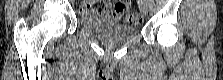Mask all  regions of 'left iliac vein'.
Here are the masks:
<instances>
[{
	"label": "left iliac vein",
	"mask_w": 223,
	"mask_h": 80,
	"mask_svg": "<svg viewBox=\"0 0 223 80\" xmlns=\"http://www.w3.org/2000/svg\"><path fill=\"white\" fill-rule=\"evenodd\" d=\"M140 11L143 14V16H146L148 14V6L145 2H143L140 6Z\"/></svg>",
	"instance_id": "left-iliac-vein-1"
}]
</instances>
